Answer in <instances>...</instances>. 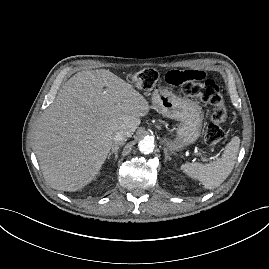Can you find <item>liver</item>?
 <instances>
[{"label":"liver","instance_id":"1","mask_svg":"<svg viewBox=\"0 0 269 269\" xmlns=\"http://www.w3.org/2000/svg\"><path fill=\"white\" fill-rule=\"evenodd\" d=\"M134 87L106 69L81 71L59 90L41 116L35 153L45 180L75 192L93 181L119 130L133 135L150 111Z\"/></svg>","mask_w":269,"mask_h":269}]
</instances>
